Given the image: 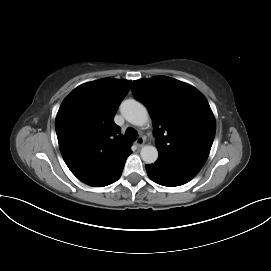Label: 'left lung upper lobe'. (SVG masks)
Wrapping results in <instances>:
<instances>
[{"mask_svg": "<svg viewBox=\"0 0 271 271\" xmlns=\"http://www.w3.org/2000/svg\"><path fill=\"white\" fill-rule=\"evenodd\" d=\"M132 89L152 116L159 155L202 167L215 136L214 115L203 94L166 76L132 81Z\"/></svg>", "mask_w": 271, "mask_h": 271, "instance_id": "obj_1", "label": "left lung upper lobe"}]
</instances>
